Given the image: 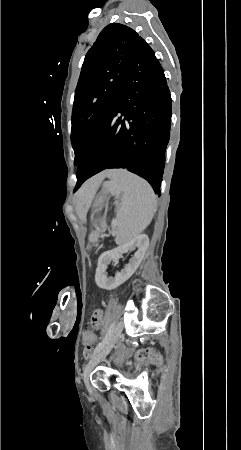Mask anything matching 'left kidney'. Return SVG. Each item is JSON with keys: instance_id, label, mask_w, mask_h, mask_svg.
I'll return each mask as SVG.
<instances>
[{"instance_id": "left-kidney-1", "label": "left kidney", "mask_w": 241, "mask_h": 450, "mask_svg": "<svg viewBox=\"0 0 241 450\" xmlns=\"http://www.w3.org/2000/svg\"><path fill=\"white\" fill-rule=\"evenodd\" d=\"M148 246V236H146V234H140V236H135L133 240H130L127 244H123V246H119V248H115V250L103 252L98 260V266L95 274V282L97 286H99V288H103V290H114V288H118V286L124 284V282L129 280L130 276L136 272L137 268H139ZM135 248H138V250L135 252L133 258L129 260V264L125 266L124 270L117 272L114 278H107L106 270L108 268V264H110L112 260L113 262H117L119 258H122V254L132 252Z\"/></svg>"}]
</instances>
